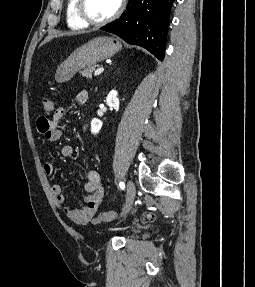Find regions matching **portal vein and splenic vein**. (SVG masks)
<instances>
[{
  "instance_id": "obj_1",
  "label": "portal vein and splenic vein",
  "mask_w": 255,
  "mask_h": 287,
  "mask_svg": "<svg viewBox=\"0 0 255 287\" xmlns=\"http://www.w3.org/2000/svg\"><path fill=\"white\" fill-rule=\"evenodd\" d=\"M102 72H104V68H98V70L94 72V76H99V74H102Z\"/></svg>"
}]
</instances>
